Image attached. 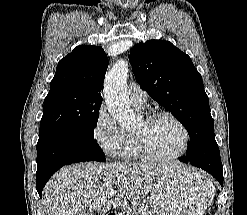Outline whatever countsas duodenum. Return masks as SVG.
Segmentation results:
<instances>
[{"instance_id":"1","label":"duodenum","mask_w":247,"mask_h":215,"mask_svg":"<svg viewBox=\"0 0 247 215\" xmlns=\"http://www.w3.org/2000/svg\"><path fill=\"white\" fill-rule=\"evenodd\" d=\"M107 215H117L116 213H109V214H107Z\"/></svg>"}]
</instances>
